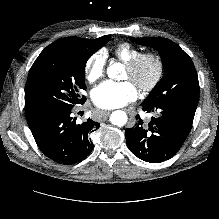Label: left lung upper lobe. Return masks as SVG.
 Segmentation results:
<instances>
[{"label":"left lung upper lobe","mask_w":219,"mask_h":219,"mask_svg":"<svg viewBox=\"0 0 219 219\" xmlns=\"http://www.w3.org/2000/svg\"><path fill=\"white\" fill-rule=\"evenodd\" d=\"M130 40L156 49L167 70V74L156 84L143 103L157 105L184 96L199 95V82L194 64L177 44L160 37H130Z\"/></svg>","instance_id":"left-lung-upper-lobe-1"}]
</instances>
